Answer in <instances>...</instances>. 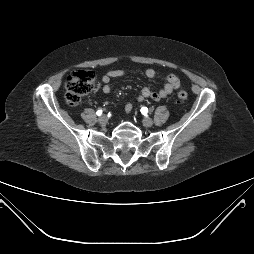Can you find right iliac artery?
<instances>
[{"mask_svg": "<svg viewBox=\"0 0 254 254\" xmlns=\"http://www.w3.org/2000/svg\"><path fill=\"white\" fill-rule=\"evenodd\" d=\"M102 113H103V110H98L97 112H96V114L98 115V116H100V115H102Z\"/></svg>", "mask_w": 254, "mask_h": 254, "instance_id": "1", "label": "right iliac artery"}]
</instances>
